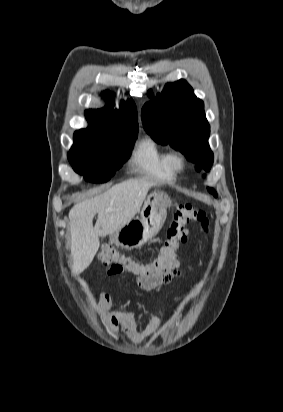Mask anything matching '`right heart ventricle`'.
<instances>
[{
	"instance_id": "e07e8e85",
	"label": "right heart ventricle",
	"mask_w": 283,
	"mask_h": 412,
	"mask_svg": "<svg viewBox=\"0 0 283 412\" xmlns=\"http://www.w3.org/2000/svg\"><path fill=\"white\" fill-rule=\"evenodd\" d=\"M171 152L161 147L153 139L143 138L135 147L131 164L139 173L154 180L168 182L175 179V172L170 168Z\"/></svg>"
}]
</instances>
